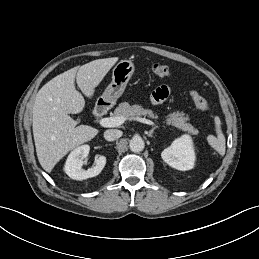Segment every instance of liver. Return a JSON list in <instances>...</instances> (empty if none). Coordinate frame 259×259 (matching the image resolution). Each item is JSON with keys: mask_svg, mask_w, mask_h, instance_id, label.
<instances>
[{"mask_svg": "<svg viewBox=\"0 0 259 259\" xmlns=\"http://www.w3.org/2000/svg\"><path fill=\"white\" fill-rule=\"evenodd\" d=\"M117 57L97 59L57 75L37 93L33 106V135L36 153L42 168L50 173L72 149L90 141L99 132L88 125H79L69 114L85 107L84 97L75 88V79L82 93L92 98Z\"/></svg>", "mask_w": 259, "mask_h": 259, "instance_id": "obj_1", "label": "liver"}]
</instances>
